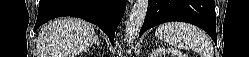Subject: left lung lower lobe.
Wrapping results in <instances>:
<instances>
[{"label": "left lung lower lobe", "instance_id": "obj_1", "mask_svg": "<svg viewBox=\"0 0 249 57\" xmlns=\"http://www.w3.org/2000/svg\"><path fill=\"white\" fill-rule=\"evenodd\" d=\"M168 21L194 24L217 42L214 0H149L139 37L151 27Z\"/></svg>", "mask_w": 249, "mask_h": 57}]
</instances>
